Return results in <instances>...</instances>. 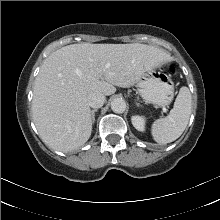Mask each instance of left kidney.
<instances>
[{"label":"left kidney","mask_w":220,"mask_h":220,"mask_svg":"<svg viewBox=\"0 0 220 220\" xmlns=\"http://www.w3.org/2000/svg\"><path fill=\"white\" fill-rule=\"evenodd\" d=\"M133 126L141 132L145 131L146 119L143 116L135 115L131 118Z\"/></svg>","instance_id":"5707ae66"}]
</instances>
